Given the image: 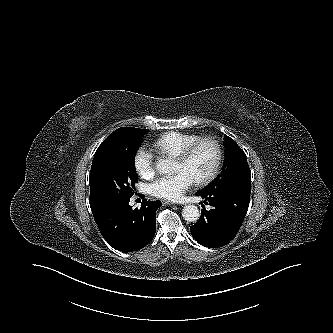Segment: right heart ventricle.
Returning <instances> with one entry per match:
<instances>
[{"label": "right heart ventricle", "instance_id": "right-heart-ventricle-1", "mask_svg": "<svg viewBox=\"0 0 333 333\" xmlns=\"http://www.w3.org/2000/svg\"><path fill=\"white\" fill-rule=\"evenodd\" d=\"M199 138L195 134L171 131L157 138L152 144V149L159 154L176 158L187 146Z\"/></svg>", "mask_w": 333, "mask_h": 333}]
</instances>
